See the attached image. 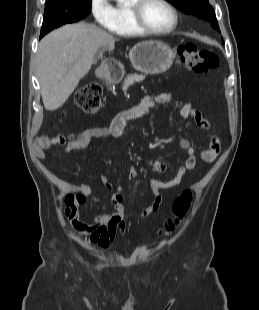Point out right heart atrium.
<instances>
[{
    "label": "right heart atrium",
    "instance_id": "1",
    "mask_svg": "<svg viewBox=\"0 0 259 310\" xmlns=\"http://www.w3.org/2000/svg\"><path fill=\"white\" fill-rule=\"evenodd\" d=\"M90 11L95 22L109 28L113 22V6L109 0H90Z\"/></svg>",
    "mask_w": 259,
    "mask_h": 310
}]
</instances>
